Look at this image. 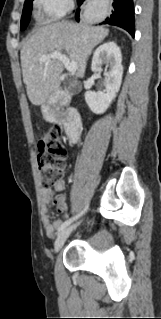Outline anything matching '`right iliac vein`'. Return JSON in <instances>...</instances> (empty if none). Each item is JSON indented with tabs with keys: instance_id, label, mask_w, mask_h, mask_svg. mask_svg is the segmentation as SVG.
<instances>
[{
	"instance_id": "1",
	"label": "right iliac vein",
	"mask_w": 161,
	"mask_h": 319,
	"mask_svg": "<svg viewBox=\"0 0 161 319\" xmlns=\"http://www.w3.org/2000/svg\"><path fill=\"white\" fill-rule=\"evenodd\" d=\"M75 228H76V225H72L59 233V235L57 236V239L55 241V244H54V251L55 252H59L61 250V248L65 244L67 238L69 237V235L72 233V231Z\"/></svg>"
}]
</instances>
